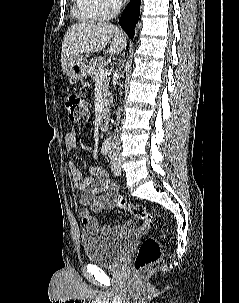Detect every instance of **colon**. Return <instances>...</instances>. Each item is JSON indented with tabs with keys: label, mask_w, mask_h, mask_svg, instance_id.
<instances>
[{
	"label": "colon",
	"mask_w": 239,
	"mask_h": 303,
	"mask_svg": "<svg viewBox=\"0 0 239 303\" xmlns=\"http://www.w3.org/2000/svg\"><path fill=\"white\" fill-rule=\"evenodd\" d=\"M65 107L70 121H78L88 112L87 102L76 93H71L66 97ZM112 202L116 208L127 211L141 219L144 228L154 225V216L144 207L132 205L123 197L112 198ZM164 235V231L160 230L157 235L149 236L143 240L135 257V268L137 271H141L159 261L161 257L160 239Z\"/></svg>",
	"instance_id": "1"
}]
</instances>
